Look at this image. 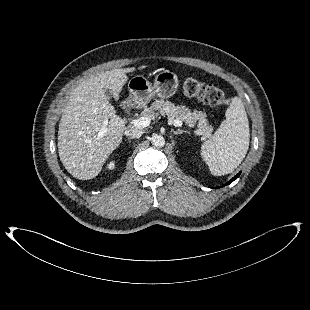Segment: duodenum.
Returning <instances> with one entry per match:
<instances>
[{"instance_id":"410a0bca","label":"duodenum","mask_w":310,"mask_h":310,"mask_svg":"<svg viewBox=\"0 0 310 310\" xmlns=\"http://www.w3.org/2000/svg\"><path fill=\"white\" fill-rule=\"evenodd\" d=\"M122 109H123V111H128L129 110V104L127 103V102H124L123 104H122Z\"/></svg>"}]
</instances>
